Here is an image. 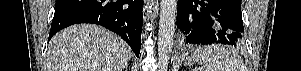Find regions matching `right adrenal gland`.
Listing matches in <instances>:
<instances>
[{
	"instance_id": "1",
	"label": "right adrenal gland",
	"mask_w": 301,
	"mask_h": 71,
	"mask_svg": "<svg viewBox=\"0 0 301 71\" xmlns=\"http://www.w3.org/2000/svg\"><path fill=\"white\" fill-rule=\"evenodd\" d=\"M127 70H128V65L125 66V71H127Z\"/></svg>"
}]
</instances>
